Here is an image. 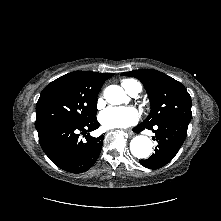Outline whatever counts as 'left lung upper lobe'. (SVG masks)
Returning a JSON list of instances; mask_svg holds the SVG:
<instances>
[{"mask_svg":"<svg viewBox=\"0 0 221 221\" xmlns=\"http://www.w3.org/2000/svg\"><path fill=\"white\" fill-rule=\"evenodd\" d=\"M121 75L139 79L148 93L151 112L142 125L155 126L172 120L191 121V97L180 82L154 69H139Z\"/></svg>","mask_w":221,"mask_h":221,"instance_id":"1","label":"left lung upper lobe"}]
</instances>
